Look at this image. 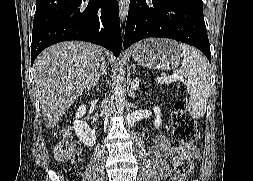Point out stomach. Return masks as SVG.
<instances>
[{
  "label": "stomach",
  "mask_w": 253,
  "mask_h": 181,
  "mask_svg": "<svg viewBox=\"0 0 253 181\" xmlns=\"http://www.w3.org/2000/svg\"><path fill=\"white\" fill-rule=\"evenodd\" d=\"M181 50L174 40L150 38L137 43L132 51L135 62L149 69H174L181 62Z\"/></svg>",
  "instance_id": "1"
}]
</instances>
